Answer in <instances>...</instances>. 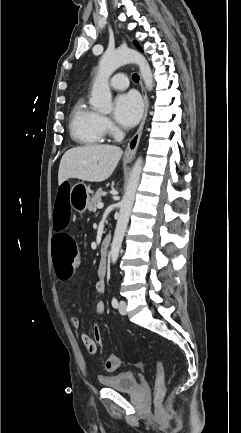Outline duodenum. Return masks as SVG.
<instances>
[{"label":"duodenum","instance_id":"duodenum-1","mask_svg":"<svg viewBox=\"0 0 241 433\" xmlns=\"http://www.w3.org/2000/svg\"><path fill=\"white\" fill-rule=\"evenodd\" d=\"M109 248H110V238L109 236H106L100 246V255L103 260L107 258L109 253Z\"/></svg>","mask_w":241,"mask_h":433}]
</instances>
